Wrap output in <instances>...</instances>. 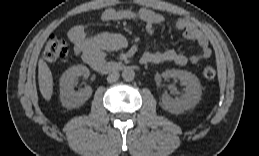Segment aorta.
Returning <instances> with one entry per match:
<instances>
[{"label":"aorta","mask_w":259,"mask_h":156,"mask_svg":"<svg viewBox=\"0 0 259 156\" xmlns=\"http://www.w3.org/2000/svg\"><path fill=\"white\" fill-rule=\"evenodd\" d=\"M122 78L127 82L132 81L135 78L134 70L130 67L125 68L122 72Z\"/></svg>","instance_id":"1"}]
</instances>
